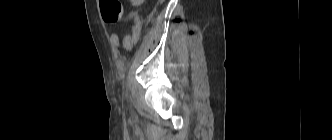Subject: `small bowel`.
<instances>
[{"mask_svg": "<svg viewBox=\"0 0 332 140\" xmlns=\"http://www.w3.org/2000/svg\"><path fill=\"white\" fill-rule=\"evenodd\" d=\"M145 0H130L131 4L134 7H138L143 4ZM140 37V24L139 23H134L130 31L125 33L122 37V43L123 47L125 48L126 51H130L133 49V47L136 45ZM111 44L114 47H118L119 42H120V36L118 33H113L111 35Z\"/></svg>", "mask_w": 332, "mask_h": 140, "instance_id": "obj_1", "label": "small bowel"}]
</instances>
